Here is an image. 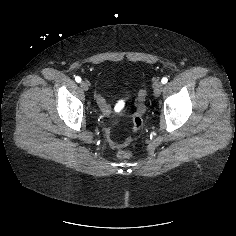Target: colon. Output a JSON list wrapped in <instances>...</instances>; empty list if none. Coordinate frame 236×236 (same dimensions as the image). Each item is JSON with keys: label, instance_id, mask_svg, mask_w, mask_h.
Wrapping results in <instances>:
<instances>
[{"label": "colon", "instance_id": "colon-1", "mask_svg": "<svg viewBox=\"0 0 236 236\" xmlns=\"http://www.w3.org/2000/svg\"><path fill=\"white\" fill-rule=\"evenodd\" d=\"M143 101H144V93L141 92L137 100V109L133 117V130L134 131L139 130L143 124V115L145 111ZM117 156L120 159H125L130 156V153L126 150H119L117 153Z\"/></svg>", "mask_w": 236, "mask_h": 236}]
</instances>
